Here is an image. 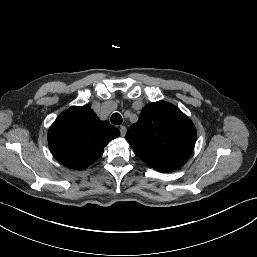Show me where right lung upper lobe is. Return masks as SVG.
<instances>
[{
  "label": "right lung upper lobe",
  "mask_w": 257,
  "mask_h": 257,
  "mask_svg": "<svg viewBox=\"0 0 257 257\" xmlns=\"http://www.w3.org/2000/svg\"><path fill=\"white\" fill-rule=\"evenodd\" d=\"M120 135L119 130L85 105L61 113L48 132L54 157L64 166L81 170L95 162L103 148Z\"/></svg>",
  "instance_id": "right-lung-upper-lobe-1"
}]
</instances>
